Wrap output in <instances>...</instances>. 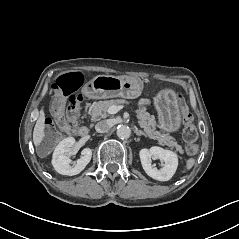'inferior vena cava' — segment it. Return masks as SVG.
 <instances>
[{
  "label": "inferior vena cava",
  "mask_w": 239,
  "mask_h": 239,
  "mask_svg": "<svg viewBox=\"0 0 239 239\" xmlns=\"http://www.w3.org/2000/svg\"><path fill=\"white\" fill-rule=\"evenodd\" d=\"M110 128L111 125L108 120L99 121L95 126V129L98 133H106L110 130Z\"/></svg>",
  "instance_id": "1"
}]
</instances>
